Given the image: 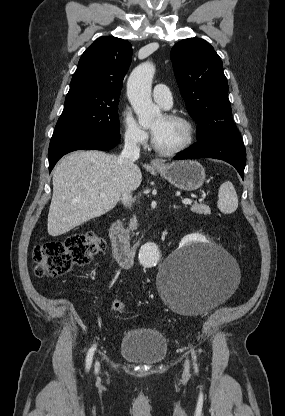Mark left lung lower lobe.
Returning <instances> with one entry per match:
<instances>
[{
  "label": "left lung lower lobe",
  "instance_id": "obj_1",
  "mask_svg": "<svg viewBox=\"0 0 285 416\" xmlns=\"http://www.w3.org/2000/svg\"><path fill=\"white\" fill-rule=\"evenodd\" d=\"M215 158L233 165L242 179L246 163V150L237 129L216 132L199 139V142L182 151L174 159Z\"/></svg>",
  "mask_w": 285,
  "mask_h": 416
}]
</instances>
